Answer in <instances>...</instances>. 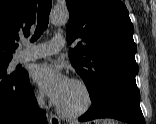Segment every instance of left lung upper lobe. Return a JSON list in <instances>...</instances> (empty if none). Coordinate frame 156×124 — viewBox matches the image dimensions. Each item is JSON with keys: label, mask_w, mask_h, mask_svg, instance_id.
I'll list each match as a JSON object with an SVG mask.
<instances>
[{"label": "left lung upper lobe", "mask_w": 156, "mask_h": 124, "mask_svg": "<svg viewBox=\"0 0 156 124\" xmlns=\"http://www.w3.org/2000/svg\"><path fill=\"white\" fill-rule=\"evenodd\" d=\"M70 18L66 30L72 66L82 77L91 100L110 92L140 97L135 76L134 28L120 0H66Z\"/></svg>", "instance_id": "1"}]
</instances>
